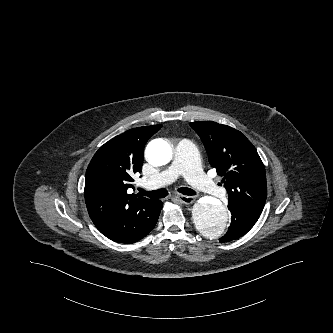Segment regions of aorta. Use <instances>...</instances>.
Instances as JSON below:
<instances>
[{"label": "aorta", "instance_id": "aorta-1", "mask_svg": "<svg viewBox=\"0 0 333 333\" xmlns=\"http://www.w3.org/2000/svg\"><path fill=\"white\" fill-rule=\"evenodd\" d=\"M147 161L156 167L167 165L172 159V148L166 141L157 139L146 148ZM195 227L208 238H217L228 230L227 208L214 200H201L192 209Z\"/></svg>", "mask_w": 333, "mask_h": 333}]
</instances>
